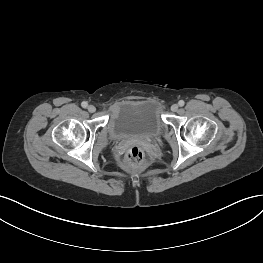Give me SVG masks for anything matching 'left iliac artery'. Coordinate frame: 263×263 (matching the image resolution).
Returning a JSON list of instances; mask_svg holds the SVG:
<instances>
[{
    "instance_id": "44dca946",
    "label": "left iliac artery",
    "mask_w": 263,
    "mask_h": 263,
    "mask_svg": "<svg viewBox=\"0 0 263 263\" xmlns=\"http://www.w3.org/2000/svg\"><path fill=\"white\" fill-rule=\"evenodd\" d=\"M178 104H179V106H184L185 102H184L183 100H180V101L178 102Z\"/></svg>"
}]
</instances>
